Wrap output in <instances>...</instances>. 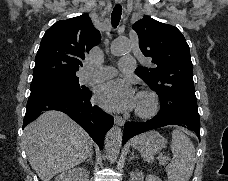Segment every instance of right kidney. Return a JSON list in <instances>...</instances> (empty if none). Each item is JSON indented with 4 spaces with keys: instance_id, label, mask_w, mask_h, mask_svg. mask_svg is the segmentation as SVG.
I'll return each mask as SVG.
<instances>
[{
    "instance_id": "ca27d5eb",
    "label": "right kidney",
    "mask_w": 228,
    "mask_h": 181,
    "mask_svg": "<svg viewBox=\"0 0 228 181\" xmlns=\"http://www.w3.org/2000/svg\"><path fill=\"white\" fill-rule=\"evenodd\" d=\"M88 179L89 171L75 167V169H69V171H64V173L58 175L55 181H88Z\"/></svg>"
}]
</instances>
